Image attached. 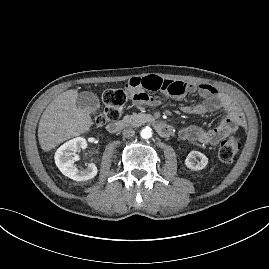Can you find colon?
<instances>
[{
  "mask_svg": "<svg viewBox=\"0 0 269 269\" xmlns=\"http://www.w3.org/2000/svg\"><path fill=\"white\" fill-rule=\"evenodd\" d=\"M128 93L122 88H108L103 92V112L98 115L96 122L104 125L108 121L116 120L121 114L127 101ZM241 148L240 138L229 135L219 145L218 157L223 163H231Z\"/></svg>",
  "mask_w": 269,
  "mask_h": 269,
  "instance_id": "5ec220e1",
  "label": "colon"
}]
</instances>
